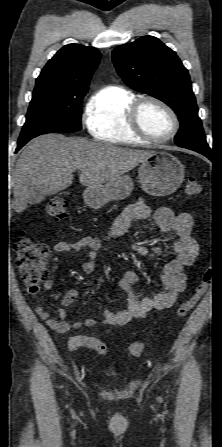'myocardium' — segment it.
<instances>
[{"instance_id":"obj_1","label":"myocardium","mask_w":222,"mask_h":447,"mask_svg":"<svg viewBox=\"0 0 222 447\" xmlns=\"http://www.w3.org/2000/svg\"><path fill=\"white\" fill-rule=\"evenodd\" d=\"M145 103H154L158 106H160L162 109H164L167 114L170 116L172 121V130L171 132L163 138H156L150 135L148 132L145 131V129L142 127L140 122V111L142 106ZM128 121L131 126V128L134 130V132L142 137L143 139L152 142V143H165L172 138L175 137V135L178 133L180 124L179 119L175 113V111L169 106L165 101L151 95H145L139 98H136L133 103L130 106V109L128 111Z\"/></svg>"}]
</instances>
